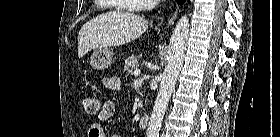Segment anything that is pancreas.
<instances>
[{"instance_id": "cf45deb5", "label": "pancreas", "mask_w": 280, "mask_h": 137, "mask_svg": "<svg viewBox=\"0 0 280 137\" xmlns=\"http://www.w3.org/2000/svg\"><path fill=\"white\" fill-rule=\"evenodd\" d=\"M139 66L137 58L135 56L128 57L123 64V71L126 72L127 76L132 75L133 71Z\"/></svg>"}]
</instances>
